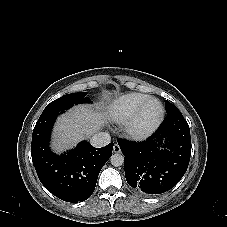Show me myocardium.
Segmentation results:
<instances>
[{
    "label": "myocardium",
    "mask_w": 227,
    "mask_h": 227,
    "mask_svg": "<svg viewBox=\"0 0 227 227\" xmlns=\"http://www.w3.org/2000/svg\"><path fill=\"white\" fill-rule=\"evenodd\" d=\"M152 102L160 105V114L151 122H144L143 115ZM165 109L161 101L150 98L143 106L125 123L124 131L128 138L133 140H144L150 137L161 125L164 119Z\"/></svg>",
    "instance_id": "obj_1"
}]
</instances>
